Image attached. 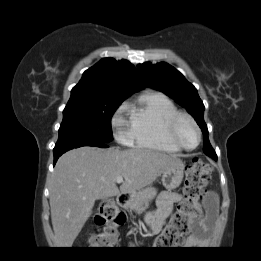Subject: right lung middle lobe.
<instances>
[{"label":"right lung middle lobe","instance_id":"dd1d6c3e","mask_svg":"<svg viewBox=\"0 0 261 261\" xmlns=\"http://www.w3.org/2000/svg\"><path fill=\"white\" fill-rule=\"evenodd\" d=\"M118 96L70 98L63 111L57 146L113 140L111 117L124 101Z\"/></svg>","mask_w":261,"mask_h":261}]
</instances>
